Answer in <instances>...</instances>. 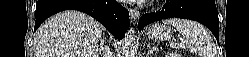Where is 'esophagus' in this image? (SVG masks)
I'll return each instance as SVG.
<instances>
[{"label": "esophagus", "instance_id": "esophagus-1", "mask_svg": "<svg viewBox=\"0 0 249 57\" xmlns=\"http://www.w3.org/2000/svg\"><path fill=\"white\" fill-rule=\"evenodd\" d=\"M129 14L132 22L136 21L139 18V11L136 9H130Z\"/></svg>", "mask_w": 249, "mask_h": 57}]
</instances>
